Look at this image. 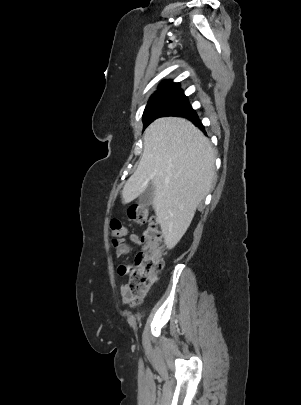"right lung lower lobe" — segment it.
<instances>
[{
    "label": "right lung lower lobe",
    "mask_w": 301,
    "mask_h": 405,
    "mask_svg": "<svg viewBox=\"0 0 301 405\" xmlns=\"http://www.w3.org/2000/svg\"><path fill=\"white\" fill-rule=\"evenodd\" d=\"M180 117H184L192 121L199 129L204 130V126L201 124V122L198 119V116L196 115L195 111H191L185 114L180 115Z\"/></svg>",
    "instance_id": "right-lung-lower-lobe-1"
}]
</instances>
